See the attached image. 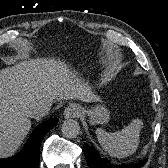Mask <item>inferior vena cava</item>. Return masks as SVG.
<instances>
[{
	"instance_id": "1",
	"label": "inferior vena cava",
	"mask_w": 168,
	"mask_h": 168,
	"mask_svg": "<svg viewBox=\"0 0 168 168\" xmlns=\"http://www.w3.org/2000/svg\"><path fill=\"white\" fill-rule=\"evenodd\" d=\"M51 105H52V102H41L37 104L35 107H33L32 110H30L29 116L31 118L43 117L46 114H48V112L50 111Z\"/></svg>"
}]
</instances>
